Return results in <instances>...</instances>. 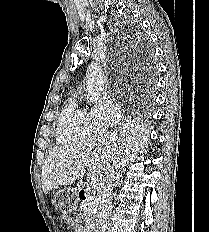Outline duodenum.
Wrapping results in <instances>:
<instances>
[{"label":"duodenum","instance_id":"obj_1","mask_svg":"<svg viewBox=\"0 0 209 232\" xmlns=\"http://www.w3.org/2000/svg\"><path fill=\"white\" fill-rule=\"evenodd\" d=\"M80 198H81V200H85V198H86V191H85V189H80ZM89 232H93V230L90 229Z\"/></svg>","mask_w":209,"mask_h":232}]
</instances>
